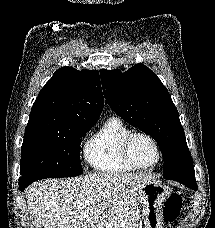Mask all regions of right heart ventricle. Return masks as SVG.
Listing matches in <instances>:
<instances>
[{"instance_id": "right-heart-ventricle-1", "label": "right heart ventricle", "mask_w": 215, "mask_h": 228, "mask_svg": "<svg viewBox=\"0 0 215 228\" xmlns=\"http://www.w3.org/2000/svg\"><path fill=\"white\" fill-rule=\"evenodd\" d=\"M133 130L118 116H111L85 142L84 159L96 172L124 174L131 169L124 161L121 144Z\"/></svg>"}]
</instances>
